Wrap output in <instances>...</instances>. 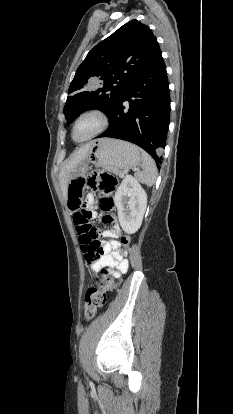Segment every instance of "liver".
I'll list each match as a JSON object with an SVG mask.
<instances>
[{"instance_id": "obj_1", "label": "liver", "mask_w": 233, "mask_h": 414, "mask_svg": "<svg viewBox=\"0 0 233 414\" xmlns=\"http://www.w3.org/2000/svg\"><path fill=\"white\" fill-rule=\"evenodd\" d=\"M91 149V144H86L79 148L71 157L66 161L63 169L59 174V181L61 189L66 199L67 185L71 177L72 172L86 159Z\"/></svg>"}]
</instances>
